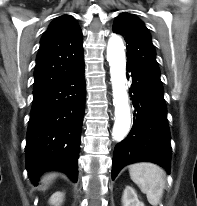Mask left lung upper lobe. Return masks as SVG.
<instances>
[{
  "label": "left lung upper lobe",
  "instance_id": "left-lung-upper-lobe-1",
  "mask_svg": "<svg viewBox=\"0 0 197 206\" xmlns=\"http://www.w3.org/2000/svg\"><path fill=\"white\" fill-rule=\"evenodd\" d=\"M113 32L121 34L126 40L127 65L162 87L155 49L144 23L133 14L122 13L116 17Z\"/></svg>",
  "mask_w": 197,
  "mask_h": 206
}]
</instances>
